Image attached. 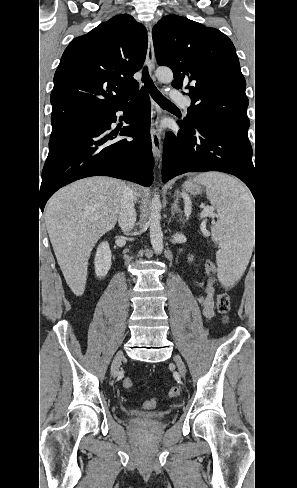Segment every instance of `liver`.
<instances>
[{"label": "liver", "instance_id": "obj_1", "mask_svg": "<svg viewBox=\"0 0 297 488\" xmlns=\"http://www.w3.org/2000/svg\"><path fill=\"white\" fill-rule=\"evenodd\" d=\"M124 181L107 177L79 180L56 192L45 208V222L64 278L72 292L85 290L87 266L97 241L117 221ZM136 195L141 190L132 189Z\"/></svg>", "mask_w": 297, "mask_h": 488}]
</instances>
